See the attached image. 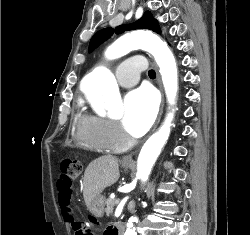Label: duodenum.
<instances>
[{"label": "duodenum", "instance_id": "1", "mask_svg": "<svg viewBox=\"0 0 250 235\" xmlns=\"http://www.w3.org/2000/svg\"><path fill=\"white\" fill-rule=\"evenodd\" d=\"M123 225H119L117 227H114L111 232L110 235H122L123 234Z\"/></svg>", "mask_w": 250, "mask_h": 235}]
</instances>
